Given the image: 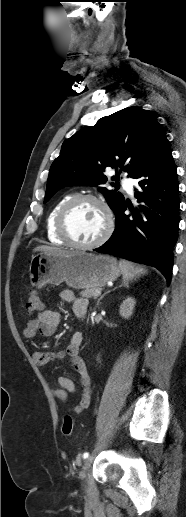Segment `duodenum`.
Listing matches in <instances>:
<instances>
[{"label":"duodenum","mask_w":186,"mask_h":517,"mask_svg":"<svg viewBox=\"0 0 186 517\" xmlns=\"http://www.w3.org/2000/svg\"><path fill=\"white\" fill-rule=\"evenodd\" d=\"M84 315H85V313H84V312L79 314V316H80L81 318H83V317H84Z\"/></svg>","instance_id":"410a0bca"}]
</instances>
